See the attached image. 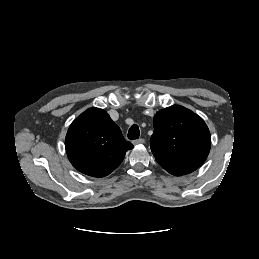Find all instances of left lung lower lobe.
I'll use <instances>...</instances> for the list:
<instances>
[{
	"instance_id": "0a47b994",
	"label": "left lung lower lobe",
	"mask_w": 259,
	"mask_h": 259,
	"mask_svg": "<svg viewBox=\"0 0 259 259\" xmlns=\"http://www.w3.org/2000/svg\"><path fill=\"white\" fill-rule=\"evenodd\" d=\"M166 171L175 176H181L193 172L198 167L195 166H182V165H173L167 163H159Z\"/></svg>"
}]
</instances>
